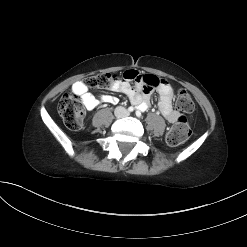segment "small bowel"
Here are the masks:
<instances>
[{
    "instance_id": "c3829d8e",
    "label": "small bowel",
    "mask_w": 247,
    "mask_h": 247,
    "mask_svg": "<svg viewBox=\"0 0 247 247\" xmlns=\"http://www.w3.org/2000/svg\"><path fill=\"white\" fill-rule=\"evenodd\" d=\"M152 77L157 80V85L152 87L146 78ZM135 83L132 85L131 83ZM110 89L126 95L131 103L141 110H146L149 106L150 95L154 89L158 92V107L164 118L170 123H175L179 116L173 109L172 100L174 91L172 86L163 79H159L153 75L140 74L135 70L126 69L123 73H117L111 81ZM72 91L77 95L88 110H93L101 103H117L118 99L112 95L95 96L88 91L83 81H77L72 85Z\"/></svg>"
}]
</instances>
